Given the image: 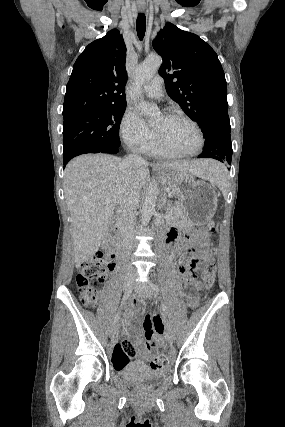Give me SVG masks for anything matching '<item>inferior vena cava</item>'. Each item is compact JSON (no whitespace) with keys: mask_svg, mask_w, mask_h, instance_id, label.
I'll return each mask as SVG.
<instances>
[{"mask_svg":"<svg viewBox=\"0 0 285 427\" xmlns=\"http://www.w3.org/2000/svg\"><path fill=\"white\" fill-rule=\"evenodd\" d=\"M126 164L129 167H134L135 165L145 164V160L136 154H129L126 158ZM136 206L137 204L133 199H124L120 203L117 211V222L121 234L122 245L128 254L134 246V228L136 224L134 210ZM127 272L131 274L134 273L131 264H128Z\"/></svg>","mask_w":285,"mask_h":427,"instance_id":"1","label":"inferior vena cava"}]
</instances>
